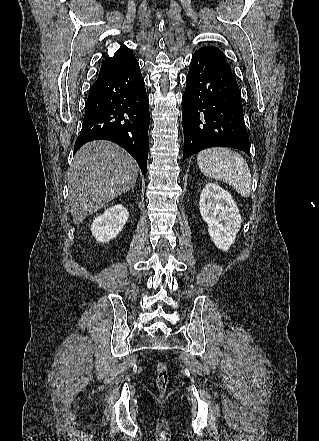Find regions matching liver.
Wrapping results in <instances>:
<instances>
[{"instance_id":"liver-1","label":"liver","mask_w":319,"mask_h":441,"mask_svg":"<svg viewBox=\"0 0 319 441\" xmlns=\"http://www.w3.org/2000/svg\"><path fill=\"white\" fill-rule=\"evenodd\" d=\"M139 167L124 149L110 141L85 144L68 170V203L75 224L136 184Z\"/></svg>"}]
</instances>
